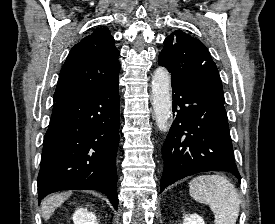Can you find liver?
Wrapping results in <instances>:
<instances>
[{"label": "liver", "instance_id": "obj_1", "mask_svg": "<svg viewBox=\"0 0 275 224\" xmlns=\"http://www.w3.org/2000/svg\"><path fill=\"white\" fill-rule=\"evenodd\" d=\"M71 192L54 194L45 198L41 203L42 217L48 220L52 213L71 195Z\"/></svg>", "mask_w": 275, "mask_h": 224}]
</instances>
